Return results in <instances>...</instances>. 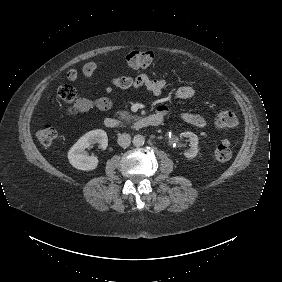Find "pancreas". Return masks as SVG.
Returning a JSON list of instances; mask_svg holds the SVG:
<instances>
[{"instance_id": "cf45deb5", "label": "pancreas", "mask_w": 282, "mask_h": 282, "mask_svg": "<svg viewBox=\"0 0 282 282\" xmlns=\"http://www.w3.org/2000/svg\"><path fill=\"white\" fill-rule=\"evenodd\" d=\"M117 113L119 115L118 118L126 123H130L132 120L135 121L140 118L139 116L130 114L128 111H118Z\"/></svg>"}]
</instances>
